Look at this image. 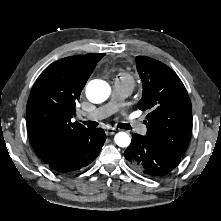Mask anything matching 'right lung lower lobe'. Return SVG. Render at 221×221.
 Returning <instances> with one entry per match:
<instances>
[{
    "label": "right lung lower lobe",
    "mask_w": 221,
    "mask_h": 221,
    "mask_svg": "<svg viewBox=\"0 0 221 221\" xmlns=\"http://www.w3.org/2000/svg\"><path fill=\"white\" fill-rule=\"evenodd\" d=\"M105 140L106 135L102 128L90 129L78 142L47 166L58 174L75 173L96 159Z\"/></svg>",
    "instance_id": "1"
}]
</instances>
